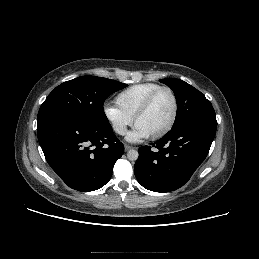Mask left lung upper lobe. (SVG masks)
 <instances>
[{
	"label": "left lung upper lobe",
	"mask_w": 259,
	"mask_h": 259,
	"mask_svg": "<svg viewBox=\"0 0 259 259\" xmlns=\"http://www.w3.org/2000/svg\"><path fill=\"white\" fill-rule=\"evenodd\" d=\"M160 82L169 86L175 94L177 114L173 127L196 120L217 124L212 104L196 88L180 79H161Z\"/></svg>",
	"instance_id": "5c2ea615"
}]
</instances>
